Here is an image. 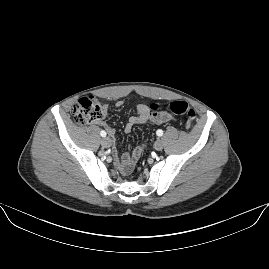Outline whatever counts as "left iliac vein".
<instances>
[{
  "instance_id": "obj_1",
  "label": "left iliac vein",
  "mask_w": 269,
  "mask_h": 269,
  "mask_svg": "<svg viewBox=\"0 0 269 269\" xmlns=\"http://www.w3.org/2000/svg\"><path fill=\"white\" fill-rule=\"evenodd\" d=\"M163 141L161 139H158L156 142H155V145H154V148L158 151L162 150L163 149Z\"/></svg>"
}]
</instances>
